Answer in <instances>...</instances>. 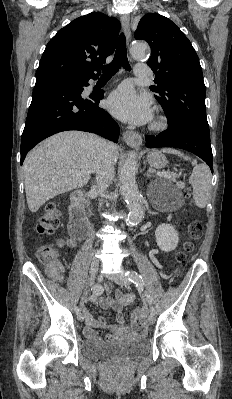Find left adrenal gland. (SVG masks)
<instances>
[{
    "label": "left adrenal gland",
    "mask_w": 232,
    "mask_h": 399,
    "mask_svg": "<svg viewBox=\"0 0 232 399\" xmlns=\"http://www.w3.org/2000/svg\"><path fill=\"white\" fill-rule=\"evenodd\" d=\"M151 174H152V172H149V170H148V174H146L147 178H150Z\"/></svg>",
    "instance_id": "1"
}]
</instances>
